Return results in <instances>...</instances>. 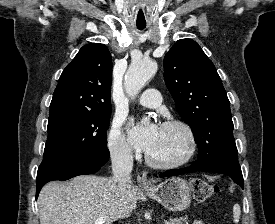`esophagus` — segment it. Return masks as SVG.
<instances>
[{
  "mask_svg": "<svg viewBox=\"0 0 275 224\" xmlns=\"http://www.w3.org/2000/svg\"><path fill=\"white\" fill-rule=\"evenodd\" d=\"M137 180L141 187L148 188L151 186V182L148 179V175L145 171H142L138 174Z\"/></svg>",
  "mask_w": 275,
  "mask_h": 224,
  "instance_id": "34e87169",
  "label": "esophagus"
}]
</instances>
